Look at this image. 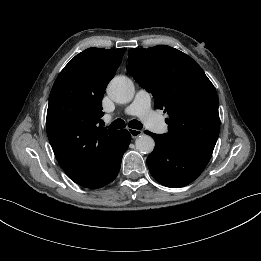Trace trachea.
Wrapping results in <instances>:
<instances>
[{"label":"trachea","instance_id":"3493384b","mask_svg":"<svg viewBox=\"0 0 261 261\" xmlns=\"http://www.w3.org/2000/svg\"><path fill=\"white\" fill-rule=\"evenodd\" d=\"M128 126L132 129H142V124L141 122H139L138 120H132L129 122ZM126 127V124L124 122V120L122 119H117L115 120L110 126L109 128L110 129H121V128H124Z\"/></svg>","mask_w":261,"mask_h":261}]
</instances>
